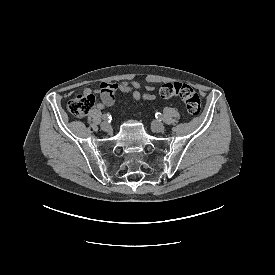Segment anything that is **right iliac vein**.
I'll use <instances>...</instances> for the list:
<instances>
[{"mask_svg": "<svg viewBox=\"0 0 275 275\" xmlns=\"http://www.w3.org/2000/svg\"><path fill=\"white\" fill-rule=\"evenodd\" d=\"M100 127L103 131H109L111 129L110 124L106 121L102 122Z\"/></svg>", "mask_w": 275, "mask_h": 275, "instance_id": "right-iliac-vein-1", "label": "right iliac vein"}]
</instances>
